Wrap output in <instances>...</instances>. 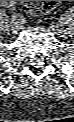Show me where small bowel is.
<instances>
[{
	"label": "small bowel",
	"mask_w": 74,
	"mask_h": 122,
	"mask_svg": "<svg viewBox=\"0 0 74 122\" xmlns=\"http://www.w3.org/2000/svg\"><path fill=\"white\" fill-rule=\"evenodd\" d=\"M3 4L6 5V6L12 7V6H14L15 1H3ZM51 10H52V9H51ZM49 11H50V10H49Z\"/></svg>",
	"instance_id": "obj_1"
}]
</instances>
